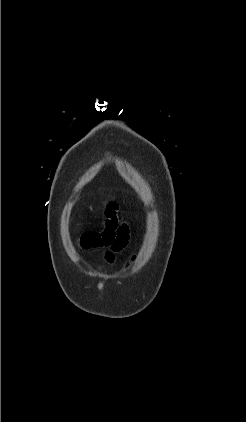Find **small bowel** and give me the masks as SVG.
Instances as JSON below:
<instances>
[{
  "mask_svg": "<svg viewBox=\"0 0 246 422\" xmlns=\"http://www.w3.org/2000/svg\"><path fill=\"white\" fill-rule=\"evenodd\" d=\"M116 204H109L106 210V221L102 231H92L81 237V246L83 248H108L106 257L112 261L114 253L120 251L126 246L129 238L128 226L119 223L116 212Z\"/></svg>",
  "mask_w": 246,
  "mask_h": 422,
  "instance_id": "obj_1",
  "label": "small bowel"
}]
</instances>
